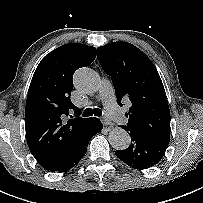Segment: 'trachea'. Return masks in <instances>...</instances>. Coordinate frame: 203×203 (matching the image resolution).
Wrapping results in <instances>:
<instances>
[{
	"label": "trachea",
	"mask_w": 203,
	"mask_h": 203,
	"mask_svg": "<svg viewBox=\"0 0 203 203\" xmlns=\"http://www.w3.org/2000/svg\"><path fill=\"white\" fill-rule=\"evenodd\" d=\"M92 115L100 117L102 115V110L99 108H86L82 114L83 117H89Z\"/></svg>",
	"instance_id": "1"
}]
</instances>
